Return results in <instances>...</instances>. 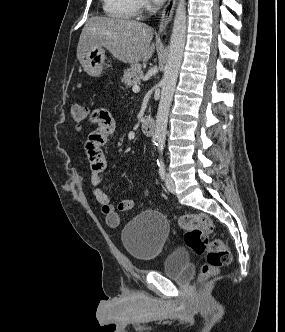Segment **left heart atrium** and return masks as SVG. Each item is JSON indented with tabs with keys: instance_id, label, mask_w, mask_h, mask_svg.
Segmentation results:
<instances>
[{
	"instance_id": "39dd6f15",
	"label": "left heart atrium",
	"mask_w": 285,
	"mask_h": 332,
	"mask_svg": "<svg viewBox=\"0 0 285 332\" xmlns=\"http://www.w3.org/2000/svg\"><path fill=\"white\" fill-rule=\"evenodd\" d=\"M155 3H162L164 0H153Z\"/></svg>"
}]
</instances>
